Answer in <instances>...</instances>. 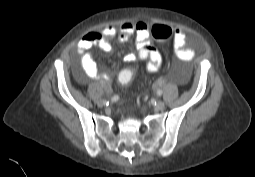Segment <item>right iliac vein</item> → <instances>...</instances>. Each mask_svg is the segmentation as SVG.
I'll return each mask as SVG.
<instances>
[{
	"mask_svg": "<svg viewBox=\"0 0 255 177\" xmlns=\"http://www.w3.org/2000/svg\"><path fill=\"white\" fill-rule=\"evenodd\" d=\"M105 103H106V101L102 100V99L98 101V105L101 106V107L104 106Z\"/></svg>",
	"mask_w": 255,
	"mask_h": 177,
	"instance_id": "1",
	"label": "right iliac vein"
}]
</instances>
